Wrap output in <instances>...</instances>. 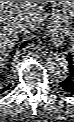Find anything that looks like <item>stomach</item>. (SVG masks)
Returning <instances> with one entry per match:
<instances>
[{"instance_id":"0dacf381","label":"stomach","mask_w":74,"mask_h":122,"mask_svg":"<svg viewBox=\"0 0 74 122\" xmlns=\"http://www.w3.org/2000/svg\"><path fill=\"white\" fill-rule=\"evenodd\" d=\"M53 17L56 21L69 20L74 16V1H53Z\"/></svg>"}]
</instances>
